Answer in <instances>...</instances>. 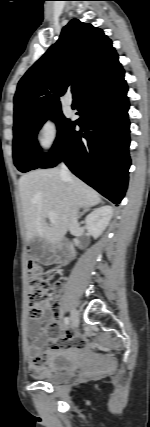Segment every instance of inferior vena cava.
Masks as SVG:
<instances>
[{"mask_svg":"<svg viewBox=\"0 0 150 427\" xmlns=\"http://www.w3.org/2000/svg\"><path fill=\"white\" fill-rule=\"evenodd\" d=\"M60 174L62 177H65V178H70V176H71L67 166L64 163L61 164ZM78 214H79L78 208L74 207L70 213V223H76L77 222V220L79 218Z\"/></svg>","mask_w":150,"mask_h":427,"instance_id":"1","label":"inferior vena cava"}]
</instances>
